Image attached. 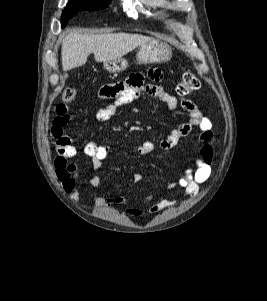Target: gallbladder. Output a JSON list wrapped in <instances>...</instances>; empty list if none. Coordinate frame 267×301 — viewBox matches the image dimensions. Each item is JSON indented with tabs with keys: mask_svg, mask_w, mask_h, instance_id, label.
I'll return each instance as SVG.
<instances>
[{
	"mask_svg": "<svg viewBox=\"0 0 267 301\" xmlns=\"http://www.w3.org/2000/svg\"><path fill=\"white\" fill-rule=\"evenodd\" d=\"M67 77H68V75H67V74H65L63 78L65 79V78H67Z\"/></svg>",
	"mask_w": 267,
	"mask_h": 301,
	"instance_id": "gallbladder-1",
	"label": "gallbladder"
}]
</instances>
